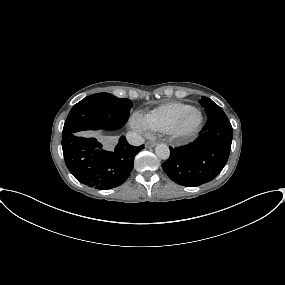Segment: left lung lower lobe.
<instances>
[{
	"mask_svg": "<svg viewBox=\"0 0 285 285\" xmlns=\"http://www.w3.org/2000/svg\"><path fill=\"white\" fill-rule=\"evenodd\" d=\"M232 126L225 114L208 118L199 137L181 147H170L163 170L176 183L193 187L213 180L227 163Z\"/></svg>",
	"mask_w": 285,
	"mask_h": 285,
	"instance_id": "left-lung-lower-lobe-1",
	"label": "left lung lower lobe"
}]
</instances>
